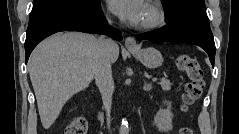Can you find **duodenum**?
<instances>
[{"label": "duodenum", "mask_w": 239, "mask_h": 134, "mask_svg": "<svg viewBox=\"0 0 239 134\" xmlns=\"http://www.w3.org/2000/svg\"><path fill=\"white\" fill-rule=\"evenodd\" d=\"M103 117H104L103 112H102V111H99L98 114H97V118H98V120H102Z\"/></svg>", "instance_id": "410a0bca"}]
</instances>
